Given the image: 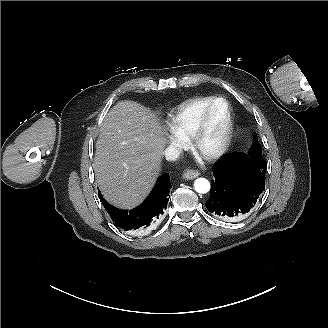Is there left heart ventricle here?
Masks as SVG:
<instances>
[{"instance_id": "left-heart-ventricle-1", "label": "left heart ventricle", "mask_w": 328, "mask_h": 328, "mask_svg": "<svg viewBox=\"0 0 328 328\" xmlns=\"http://www.w3.org/2000/svg\"><path fill=\"white\" fill-rule=\"evenodd\" d=\"M226 122V107L219 104L207 115L203 122L201 142L204 150L211 151L216 148L222 138Z\"/></svg>"}]
</instances>
